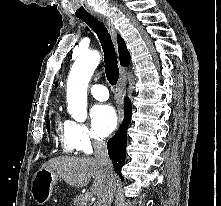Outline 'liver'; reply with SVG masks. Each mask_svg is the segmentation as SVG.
I'll list each match as a JSON object with an SVG mask.
<instances>
[{
    "label": "liver",
    "mask_w": 221,
    "mask_h": 206,
    "mask_svg": "<svg viewBox=\"0 0 221 206\" xmlns=\"http://www.w3.org/2000/svg\"><path fill=\"white\" fill-rule=\"evenodd\" d=\"M42 168L53 171L65 182L75 187H84L93 177L92 194L98 197L102 193L105 177L101 166L93 157H55L45 163Z\"/></svg>",
    "instance_id": "6515ba94"
}]
</instances>
